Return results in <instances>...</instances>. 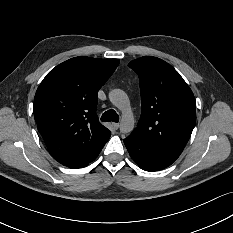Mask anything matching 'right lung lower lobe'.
<instances>
[{
  "label": "right lung lower lobe",
  "instance_id": "1",
  "mask_svg": "<svg viewBox=\"0 0 233 233\" xmlns=\"http://www.w3.org/2000/svg\"><path fill=\"white\" fill-rule=\"evenodd\" d=\"M100 151L98 153H96L94 156H92L90 159H88L87 161H85V162H83L81 164H77V165H73V166H68V167L69 168H81V167L87 166L90 162H92L93 160L96 159V157L98 156V154L100 153Z\"/></svg>",
  "mask_w": 233,
  "mask_h": 233
}]
</instances>
